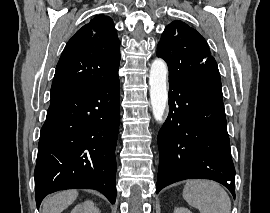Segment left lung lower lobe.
<instances>
[{"label":"left lung lower lobe","instance_id":"1","mask_svg":"<svg viewBox=\"0 0 270 213\" xmlns=\"http://www.w3.org/2000/svg\"><path fill=\"white\" fill-rule=\"evenodd\" d=\"M222 92L193 81H169V115L158 134L156 193L184 179L226 186L235 198V168Z\"/></svg>","mask_w":270,"mask_h":213}]
</instances>
